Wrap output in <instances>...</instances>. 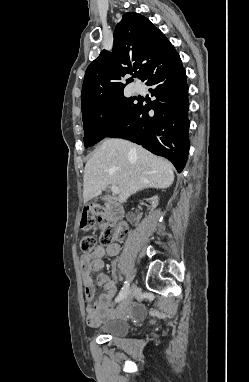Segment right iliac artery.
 <instances>
[{"label":"right iliac artery","mask_w":249,"mask_h":382,"mask_svg":"<svg viewBox=\"0 0 249 382\" xmlns=\"http://www.w3.org/2000/svg\"><path fill=\"white\" fill-rule=\"evenodd\" d=\"M128 290H129V282L125 281L121 291L119 292V295L116 297V302H119L120 300H122L127 294Z\"/></svg>","instance_id":"82829eb1"}]
</instances>
